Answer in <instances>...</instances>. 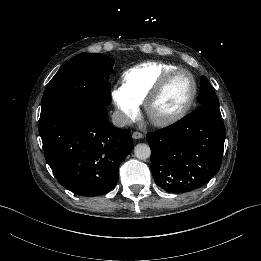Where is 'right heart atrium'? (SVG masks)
Returning <instances> with one entry per match:
<instances>
[{"mask_svg": "<svg viewBox=\"0 0 261 261\" xmlns=\"http://www.w3.org/2000/svg\"><path fill=\"white\" fill-rule=\"evenodd\" d=\"M111 98L117 108L120 120L124 124H131L140 114L139 103L136 102L122 87L112 90Z\"/></svg>", "mask_w": 261, "mask_h": 261, "instance_id": "1", "label": "right heart atrium"}]
</instances>
